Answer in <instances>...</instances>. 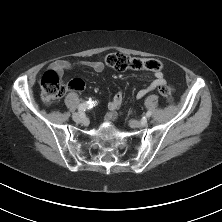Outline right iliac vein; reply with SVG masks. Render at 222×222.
I'll return each instance as SVG.
<instances>
[{"instance_id": "63e3f726", "label": "right iliac vein", "mask_w": 222, "mask_h": 222, "mask_svg": "<svg viewBox=\"0 0 222 222\" xmlns=\"http://www.w3.org/2000/svg\"><path fill=\"white\" fill-rule=\"evenodd\" d=\"M72 118H73V120H74L75 122H83V121H85L84 115L79 114V113H74V114L72 115Z\"/></svg>"}]
</instances>
